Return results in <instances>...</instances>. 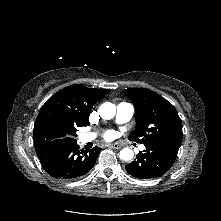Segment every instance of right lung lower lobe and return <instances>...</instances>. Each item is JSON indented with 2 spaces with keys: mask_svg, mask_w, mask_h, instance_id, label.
<instances>
[{
  "mask_svg": "<svg viewBox=\"0 0 221 221\" xmlns=\"http://www.w3.org/2000/svg\"><path fill=\"white\" fill-rule=\"evenodd\" d=\"M101 148L80 150L77 142L56 149L37 153L44 170L51 176L72 180L88 173L94 166Z\"/></svg>",
  "mask_w": 221,
  "mask_h": 221,
  "instance_id": "1",
  "label": "right lung lower lobe"
}]
</instances>
